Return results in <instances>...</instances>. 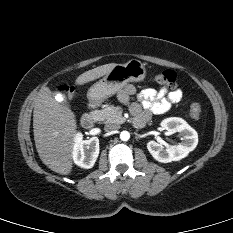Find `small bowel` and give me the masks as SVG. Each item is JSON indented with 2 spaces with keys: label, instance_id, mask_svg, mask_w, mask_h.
<instances>
[{
  "label": "small bowel",
  "instance_id": "small-bowel-1",
  "mask_svg": "<svg viewBox=\"0 0 233 233\" xmlns=\"http://www.w3.org/2000/svg\"><path fill=\"white\" fill-rule=\"evenodd\" d=\"M137 94L134 85H127L120 93L119 98L128 102L129 97ZM183 92L181 89L169 90L166 87L159 89L146 88L137 94L138 103H131L130 109L134 115L136 125L147 122L153 114L167 112L173 104L181 101Z\"/></svg>",
  "mask_w": 233,
  "mask_h": 233
}]
</instances>
